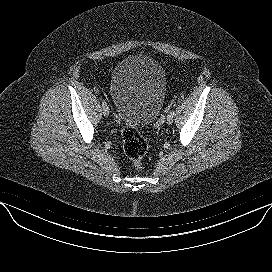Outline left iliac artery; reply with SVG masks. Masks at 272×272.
<instances>
[{
  "label": "left iliac artery",
  "instance_id": "1",
  "mask_svg": "<svg viewBox=\"0 0 272 272\" xmlns=\"http://www.w3.org/2000/svg\"><path fill=\"white\" fill-rule=\"evenodd\" d=\"M169 114L174 115V111H173V110H171V111L169 112Z\"/></svg>",
  "mask_w": 272,
  "mask_h": 272
}]
</instances>
